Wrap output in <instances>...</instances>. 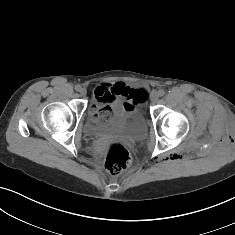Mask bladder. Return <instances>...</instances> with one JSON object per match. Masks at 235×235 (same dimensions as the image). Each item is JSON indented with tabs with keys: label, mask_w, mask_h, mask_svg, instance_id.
<instances>
[{
	"label": "bladder",
	"mask_w": 235,
	"mask_h": 235,
	"mask_svg": "<svg viewBox=\"0 0 235 235\" xmlns=\"http://www.w3.org/2000/svg\"><path fill=\"white\" fill-rule=\"evenodd\" d=\"M146 131V119L138 106L132 109L116 107L109 119L90 116L85 124V132L89 136L116 134L131 140H140L146 135Z\"/></svg>",
	"instance_id": "obj_1"
}]
</instances>
